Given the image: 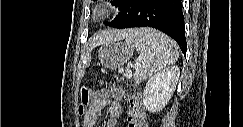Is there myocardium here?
<instances>
[{
	"mask_svg": "<svg viewBox=\"0 0 243 127\" xmlns=\"http://www.w3.org/2000/svg\"><path fill=\"white\" fill-rule=\"evenodd\" d=\"M116 12V6L110 1H99L90 11V17L95 23L107 21Z\"/></svg>",
	"mask_w": 243,
	"mask_h": 127,
	"instance_id": "1",
	"label": "myocardium"
}]
</instances>
